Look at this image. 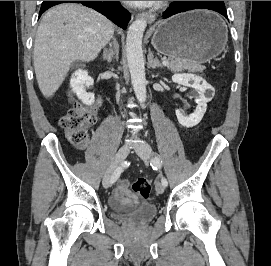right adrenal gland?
<instances>
[{"label":"right adrenal gland","mask_w":271,"mask_h":266,"mask_svg":"<svg viewBox=\"0 0 271 266\" xmlns=\"http://www.w3.org/2000/svg\"><path fill=\"white\" fill-rule=\"evenodd\" d=\"M119 46L115 39H113V49H105L103 52L104 60H107L108 63L112 62V59L115 58L118 60Z\"/></svg>","instance_id":"1"}]
</instances>
